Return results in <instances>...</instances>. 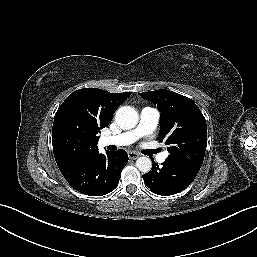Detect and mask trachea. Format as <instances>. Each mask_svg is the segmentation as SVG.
<instances>
[{
    "label": "trachea",
    "mask_w": 257,
    "mask_h": 257,
    "mask_svg": "<svg viewBox=\"0 0 257 257\" xmlns=\"http://www.w3.org/2000/svg\"><path fill=\"white\" fill-rule=\"evenodd\" d=\"M160 151H161V149L158 148V149L153 150V153H158V152H160Z\"/></svg>",
    "instance_id": "trachea-1"
}]
</instances>
